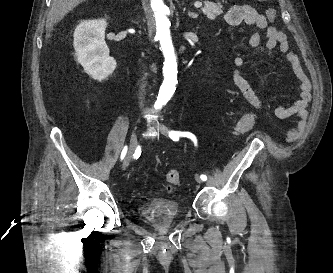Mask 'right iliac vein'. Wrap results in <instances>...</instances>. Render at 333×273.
<instances>
[{
    "instance_id": "right-iliac-vein-1",
    "label": "right iliac vein",
    "mask_w": 333,
    "mask_h": 273,
    "mask_svg": "<svg viewBox=\"0 0 333 273\" xmlns=\"http://www.w3.org/2000/svg\"><path fill=\"white\" fill-rule=\"evenodd\" d=\"M137 145H138V140H137L136 128H134L130 138L129 150L122 165L123 169H126L129 166L132 155L135 149L137 148Z\"/></svg>"
}]
</instances>
